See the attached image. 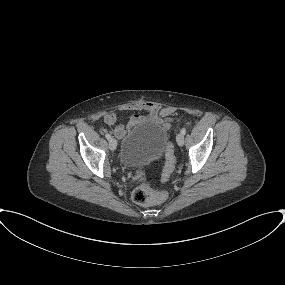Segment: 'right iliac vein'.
I'll return each mask as SVG.
<instances>
[{
    "label": "right iliac vein",
    "mask_w": 285,
    "mask_h": 285,
    "mask_svg": "<svg viewBox=\"0 0 285 285\" xmlns=\"http://www.w3.org/2000/svg\"><path fill=\"white\" fill-rule=\"evenodd\" d=\"M109 148L110 150L114 151L117 148V142L115 139L109 140Z\"/></svg>",
    "instance_id": "1"
}]
</instances>
